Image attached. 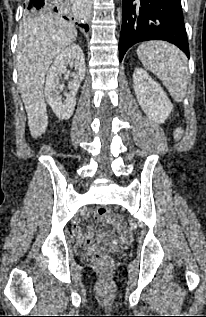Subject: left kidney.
<instances>
[{"instance_id": "1", "label": "left kidney", "mask_w": 206, "mask_h": 317, "mask_svg": "<svg viewBox=\"0 0 206 317\" xmlns=\"http://www.w3.org/2000/svg\"><path fill=\"white\" fill-rule=\"evenodd\" d=\"M133 88L141 106L147 116L162 124L173 110V105L164 90L142 68H136L133 73Z\"/></svg>"}]
</instances>
